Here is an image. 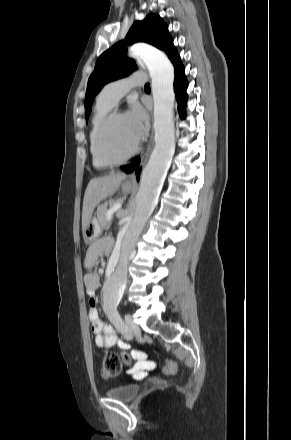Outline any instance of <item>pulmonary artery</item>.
Wrapping results in <instances>:
<instances>
[{"mask_svg":"<svg viewBox=\"0 0 291 440\" xmlns=\"http://www.w3.org/2000/svg\"><path fill=\"white\" fill-rule=\"evenodd\" d=\"M146 81L142 73H134L130 76L107 83L100 91L98 97L109 106H115L118 101L133 87L142 86Z\"/></svg>","mask_w":291,"mask_h":440,"instance_id":"obj_1","label":"pulmonary artery"}]
</instances>
